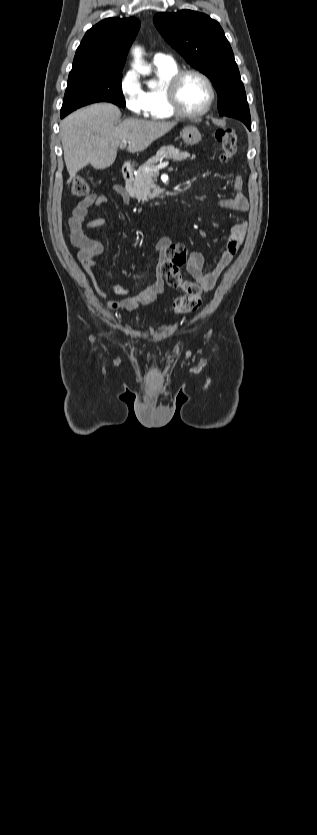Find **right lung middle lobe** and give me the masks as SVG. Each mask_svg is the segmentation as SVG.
Here are the masks:
<instances>
[{
    "instance_id": "right-lung-middle-lobe-1",
    "label": "right lung middle lobe",
    "mask_w": 317,
    "mask_h": 835,
    "mask_svg": "<svg viewBox=\"0 0 317 835\" xmlns=\"http://www.w3.org/2000/svg\"><path fill=\"white\" fill-rule=\"evenodd\" d=\"M121 79L122 70L94 67L72 69L61 114L67 115L82 106L104 101L125 107Z\"/></svg>"
}]
</instances>
